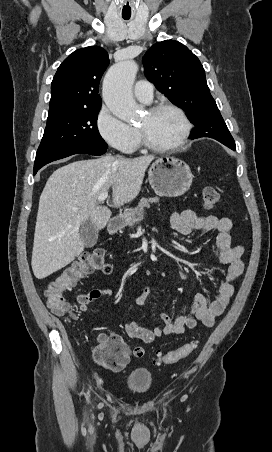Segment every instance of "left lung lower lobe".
I'll return each mask as SVG.
<instances>
[{"instance_id":"0a47b994","label":"left lung lower lobe","mask_w":272,"mask_h":452,"mask_svg":"<svg viewBox=\"0 0 272 452\" xmlns=\"http://www.w3.org/2000/svg\"><path fill=\"white\" fill-rule=\"evenodd\" d=\"M195 138H199V136L198 135H191L190 136V139H195ZM217 141H219V142H221L222 144H224V145H226V146H228L229 148H231V144H230V141L229 140H227V139H225V138H221V139H219V140H217ZM236 147V146H235ZM232 149V148H231ZM236 149V148H235ZM235 149H233V150H235Z\"/></svg>"}]
</instances>
